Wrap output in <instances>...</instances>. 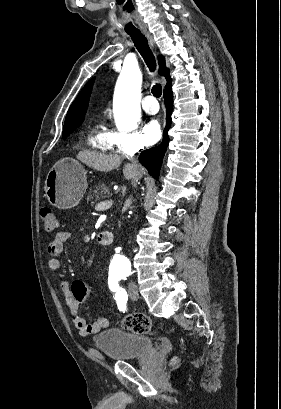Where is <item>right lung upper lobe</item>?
Listing matches in <instances>:
<instances>
[{
  "label": "right lung upper lobe",
  "instance_id": "right-lung-upper-lobe-1",
  "mask_svg": "<svg viewBox=\"0 0 281 409\" xmlns=\"http://www.w3.org/2000/svg\"><path fill=\"white\" fill-rule=\"evenodd\" d=\"M158 63L159 74L165 76L167 80V84L164 89V92H166L168 89L172 87L171 77L169 76V70L165 66V59L163 56L158 57ZM93 82L94 78H92L85 85V87L81 90V92L76 97L75 101L70 106L65 118L64 126L80 125L83 122Z\"/></svg>",
  "mask_w": 281,
  "mask_h": 409
}]
</instances>
